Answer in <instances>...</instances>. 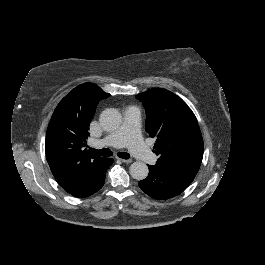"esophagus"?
I'll return each mask as SVG.
<instances>
[{"label": "esophagus", "mask_w": 265, "mask_h": 265, "mask_svg": "<svg viewBox=\"0 0 265 265\" xmlns=\"http://www.w3.org/2000/svg\"><path fill=\"white\" fill-rule=\"evenodd\" d=\"M117 159H119L120 161H122L124 163H131L132 162L131 159H123V158H118V157H117Z\"/></svg>", "instance_id": "1"}]
</instances>
